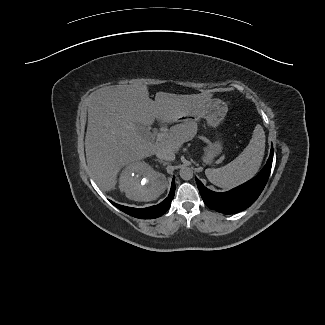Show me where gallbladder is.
Instances as JSON below:
<instances>
[{"label":"gallbladder","mask_w":325,"mask_h":325,"mask_svg":"<svg viewBox=\"0 0 325 325\" xmlns=\"http://www.w3.org/2000/svg\"><path fill=\"white\" fill-rule=\"evenodd\" d=\"M136 127H137V132H138L141 136L147 138L148 135L150 134L149 127H147V126H145V125H141V124H138Z\"/></svg>","instance_id":"obj_1"}]
</instances>
